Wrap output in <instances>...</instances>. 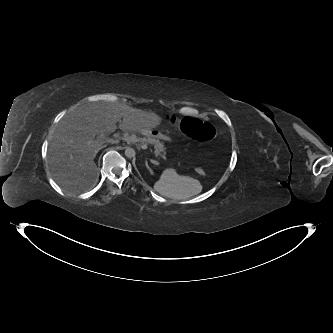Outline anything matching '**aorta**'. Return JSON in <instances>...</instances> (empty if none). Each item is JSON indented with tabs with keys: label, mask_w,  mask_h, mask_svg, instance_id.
I'll list each match as a JSON object with an SVG mask.
<instances>
[{
	"label": "aorta",
	"mask_w": 333,
	"mask_h": 333,
	"mask_svg": "<svg viewBox=\"0 0 333 333\" xmlns=\"http://www.w3.org/2000/svg\"><path fill=\"white\" fill-rule=\"evenodd\" d=\"M125 156L127 158H133V157H135V150L133 148H131V147H127L125 149Z\"/></svg>",
	"instance_id": "762f6f07"
}]
</instances>
